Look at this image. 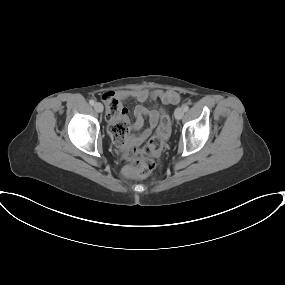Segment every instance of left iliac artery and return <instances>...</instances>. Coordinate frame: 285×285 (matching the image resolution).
Segmentation results:
<instances>
[{
  "instance_id": "obj_1",
  "label": "left iliac artery",
  "mask_w": 285,
  "mask_h": 285,
  "mask_svg": "<svg viewBox=\"0 0 285 285\" xmlns=\"http://www.w3.org/2000/svg\"><path fill=\"white\" fill-rule=\"evenodd\" d=\"M188 109H189V106H188L187 104L183 106V110H184V112H187V111H188Z\"/></svg>"
}]
</instances>
